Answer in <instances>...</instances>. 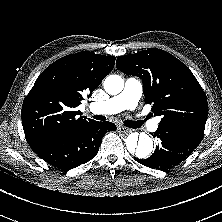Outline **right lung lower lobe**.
Segmentation results:
<instances>
[{
	"instance_id": "1",
	"label": "right lung lower lobe",
	"mask_w": 222,
	"mask_h": 222,
	"mask_svg": "<svg viewBox=\"0 0 222 222\" xmlns=\"http://www.w3.org/2000/svg\"><path fill=\"white\" fill-rule=\"evenodd\" d=\"M115 130L114 123L92 120L68 133L44 136L28 144L49 164L69 170L94 158L104 134Z\"/></svg>"
}]
</instances>
